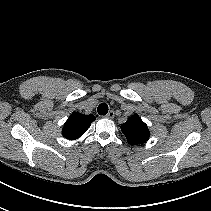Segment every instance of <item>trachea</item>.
Here are the masks:
<instances>
[{"label":"trachea","instance_id":"1","mask_svg":"<svg viewBox=\"0 0 211 211\" xmlns=\"http://www.w3.org/2000/svg\"><path fill=\"white\" fill-rule=\"evenodd\" d=\"M99 115H106L108 113V105L106 103H101L97 108Z\"/></svg>","mask_w":211,"mask_h":211}]
</instances>
